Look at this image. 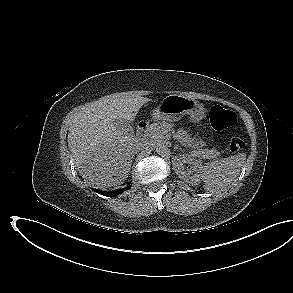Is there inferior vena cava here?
I'll return each instance as SVG.
<instances>
[{
	"label": "inferior vena cava",
	"mask_w": 293,
	"mask_h": 293,
	"mask_svg": "<svg viewBox=\"0 0 293 293\" xmlns=\"http://www.w3.org/2000/svg\"><path fill=\"white\" fill-rule=\"evenodd\" d=\"M148 147V142L146 140H135L134 142V152L137 153Z\"/></svg>",
	"instance_id": "inferior-vena-cava-1"
}]
</instances>
